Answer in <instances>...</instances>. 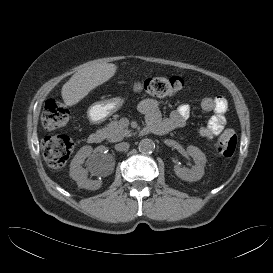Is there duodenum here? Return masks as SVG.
<instances>
[{
  "instance_id": "410a0bca",
  "label": "duodenum",
  "mask_w": 273,
  "mask_h": 273,
  "mask_svg": "<svg viewBox=\"0 0 273 273\" xmlns=\"http://www.w3.org/2000/svg\"><path fill=\"white\" fill-rule=\"evenodd\" d=\"M146 131L156 135H164L170 131V126L166 120L156 119L155 121L148 122ZM104 133L101 131H96L90 134L89 142L92 144H99L104 140Z\"/></svg>"
}]
</instances>
